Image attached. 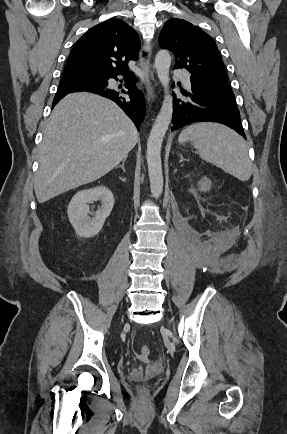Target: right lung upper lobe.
Masks as SVG:
<instances>
[{
    "instance_id": "cb5924a9",
    "label": "right lung upper lobe",
    "mask_w": 287,
    "mask_h": 434,
    "mask_svg": "<svg viewBox=\"0 0 287 434\" xmlns=\"http://www.w3.org/2000/svg\"><path fill=\"white\" fill-rule=\"evenodd\" d=\"M140 40L128 24L109 19L89 29L74 45L62 78L72 74L111 76L128 73V61L137 60Z\"/></svg>"
}]
</instances>
